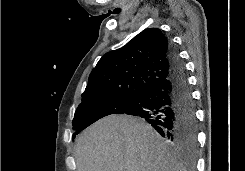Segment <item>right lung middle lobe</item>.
<instances>
[{"mask_svg":"<svg viewBox=\"0 0 245 171\" xmlns=\"http://www.w3.org/2000/svg\"><path fill=\"white\" fill-rule=\"evenodd\" d=\"M140 96L121 95L98 100H84L79 104L72 122L75 130L72 139L83 129L110 114H123L139 101Z\"/></svg>","mask_w":245,"mask_h":171,"instance_id":"right-lung-middle-lobe-1","label":"right lung middle lobe"}]
</instances>
